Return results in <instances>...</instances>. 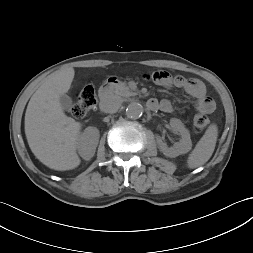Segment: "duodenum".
<instances>
[{
    "instance_id": "obj_1",
    "label": "duodenum",
    "mask_w": 253,
    "mask_h": 253,
    "mask_svg": "<svg viewBox=\"0 0 253 253\" xmlns=\"http://www.w3.org/2000/svg\"><path fill=\"white\" fill-rule=\"evenodd\" d=\"M118 83L116 78L109 79L99 90V97L102 101L106 100L111 88ZM148 108L154 110L157 108V103L154 99H151L147 103Z\"/></svg>"
}]
</instances>
